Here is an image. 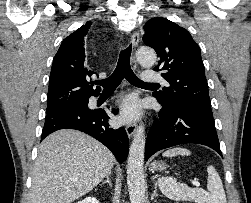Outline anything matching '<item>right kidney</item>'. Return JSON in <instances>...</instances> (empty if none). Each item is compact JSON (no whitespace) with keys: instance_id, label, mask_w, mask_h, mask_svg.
<instances>
[{"instance_id":"obj_1","label":"right kidney","mask_w":251,"mask_h":203,"mask_svg":"<svg viewBox=\"0 0 251 203\" xmlns=\"http://www.w3.org/2000/svg\"><path fill=\"white\" fill-rule=\"evenodd\" d=\"M77 203H99V201L94 197H86Z\"/></svg>"}]
</instances>
